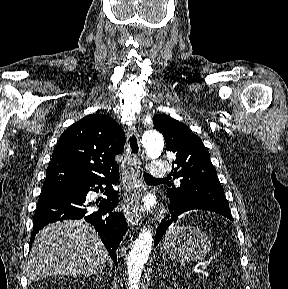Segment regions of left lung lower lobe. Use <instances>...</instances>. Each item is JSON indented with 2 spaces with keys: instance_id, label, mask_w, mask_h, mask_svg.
Returning a JSON list of instances; mask_svg holds the SVG:
<instances>
[{
  "instance_id": "0a47b994",
  "label": "left lung lower lobe",
  "mask_w": 288,
  "mask_h": 289,
  "mask_svg": "<svg viewBox=\"0 0 288 289\" xmlns=\"http://www.w3.org/2000/svg\"><path fill=\"white\" fill-rule=\"evenodd\" d=\"M170 209H171L172 218L169 219L168 221H165V220L162 221V224L157 228L156 236H155V242H154L155 246L158 245L159 241L161 240V238L164 235V233L166 232V230L169 228V226L171 225L172 222H175L177 220L178 216H180L181 214H183L187 211L202 209V208H199L197 206L186 207V206L180 205L178 203H171ZM227 218L232 220V218H230V217H227Z\"/></svg>"
}]
</instances>
